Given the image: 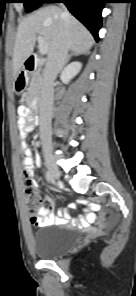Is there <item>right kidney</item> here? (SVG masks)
I'll return each instance as SVG.
<instances>
[{"label": "right kidney", "instance_id": "right-kidney-1", "mask_svg": "<svg viewBox=\"0 0 136 296\" xmlns=\"http://www.w3.org/2000/svg\"><path fill=\"white\" fill-rule=\"evenodd\" d=\"M82 63L75 61L69 64L61 73V80L63 83L68 84L81 70Z\"/></svg>", "mask_w": 136, "mask_h": 296}]
</instances>
